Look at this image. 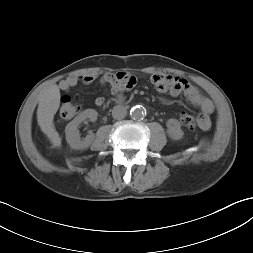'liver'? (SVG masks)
<instances>
[{
	"label": "liver",
	"mask_w": 253,
	"mask_h": 253,
	"mask_svg": "<svg viewBox=\"0 0 253 253\" xmlns=\"http://www.w3.org/2000/svg\"><path fill=\"white\" fill-rule=\"evenodd\" d=\"M60 98L59 87L52 84L40 92L37 109L38 125L54 147H61V138L53 122L54 115L60 106Z\"/></svg>",
	"instance_id": "liver-1"
}]
</instances>
